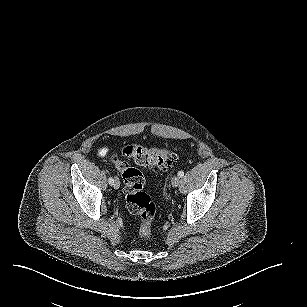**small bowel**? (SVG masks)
<instances>
[{"mask_svg": "<svg viewBox=\"0 0 307 307\" xmlns=\"http://www.w3.org/2000/svg\"><path fill=\"white\" fill-rule=\"evenodd\" d=\"M106 153H107V149L102 148V149L99 150L98 154H99L100 157H104L106 155Z\"/></svg>", "mask_w": 307, "mask_h": 307, "instance_id": "c3829d8e", "label": "small bowel"}]
</instances>
